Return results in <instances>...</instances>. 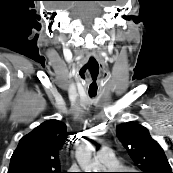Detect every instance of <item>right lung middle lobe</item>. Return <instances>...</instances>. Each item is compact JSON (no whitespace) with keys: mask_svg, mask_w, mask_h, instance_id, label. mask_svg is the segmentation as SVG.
I'll list each match as a JSON object with an SVG mask.
<instances>
[{"mask_svg":"<svg viewBox=\"0 0 173 173\" xmlns=\"http://www.w3.org/2000/svg\"><path fill=\"white\" fill-rule=\"evenodd\" d=\"M19 173H36V172L35 171L24 170V171H19ZM43 173H60V172L44 171Z\"/></svg>","mask_w":173,"mask_h":173,"instance_id":"obj_1","label":"right lung middle lobe"}]
</instances>
